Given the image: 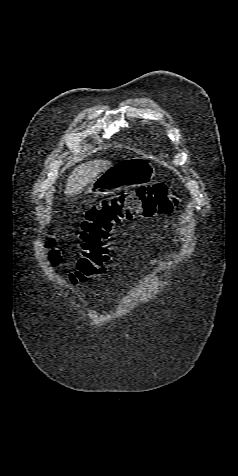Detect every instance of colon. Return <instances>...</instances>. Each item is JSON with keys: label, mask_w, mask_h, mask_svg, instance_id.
<instances>
[{"label": "colon", "mask_w": 238, "mask_h": 476, "mask_svg": "<svg viewBox=\"0 0 238 476\" xmlns=\"http://www.w3.org/2000/svg\"><path fill=\"white\" fill-rule=\"evenodd\" d=\"M169 185L155 183L101 200L85 213L81 223L82 253L69 274L72 283L84 282L104 271L110 259V235L116 225L135 218H148L171 213L180 202ZM49 259L58 263L61 255L55 240L49 239Z\"/></svg>", "instance_id": "1"}]
</instances>
